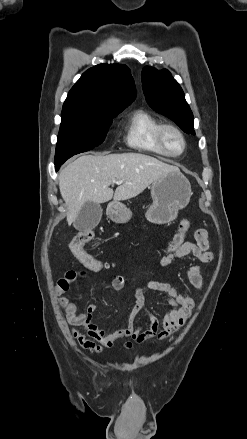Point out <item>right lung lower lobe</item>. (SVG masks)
Returning a JSON list of instances; mask_svg holds the SVG:
<instances>
[{"label": "right lung lower lobe", "instance_id": "right-lung-lower-lobe-1", "mask_svg": "<svg viewBox=\"0 0 247 439\" xmlns=\"http://www.w3.org/2000/svg\"><path fill=\"white\" fill-rule=\"evenodd\" d=\"M60 167V166H59ZM59 167H55L56 171L59 169Z\"/></svg>", "mask_w": 247, "mask_h": 439}]
</instances>
